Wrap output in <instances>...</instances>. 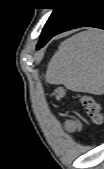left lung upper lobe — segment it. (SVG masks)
<instances>
[{"mask_svg":"<svg viewBox=\"0 0 104 169\" xmlns=\"http://www.w3.org/2000/svg\"><path fill=\"white\" fill-rule=\"evenodd\" d=\"M59 7L54 8V11L50 15L48 21L46 22L42 33L44 35L49 34L52 32L67 16V14L73 8L76 0H55Z\"/></svg>","mask_w":104,"mask_h":169,"instance_id":"1","label":"left lung upper lobe"}]
</instances>
